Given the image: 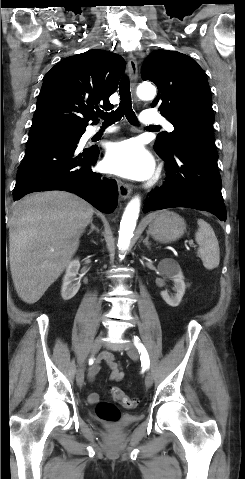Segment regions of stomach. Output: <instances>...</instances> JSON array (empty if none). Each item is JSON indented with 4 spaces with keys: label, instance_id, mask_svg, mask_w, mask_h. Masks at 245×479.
<instances>
[{
    "label": "stomach",
    "instance_id": "obj_1",
    "mask_svg": "<svg viewBox=\"0 0 245 479\" xmlns=\"http://www.w3.org/2000/svg\"><path fill=\"white\" fill-rule=\"evenodd\" d=\"M186 229L184 219L178 214L164 211L150 223L148 233L154 240L169 243L180 238Z\"/></svg>",
    "mask_w": 245,
    "mask_h": 479
}]
</instances>
